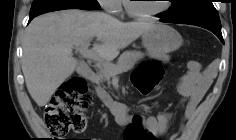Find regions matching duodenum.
<instances>
[{
	"instance_id": "1",
	"label": "duodenum",
	"mask_w": 236,
	"mask_h": 140,
	"mask_svg": "<svg viewBox=\"0 0 236 140\" xmlns=\"http://www.w3.org/2000/svg\"><path fill=\"white\" fill-rule=\"evenodd\" d=\"M78 68L79 71L88 79L93 77V72L85 61H81ZM99 92L102 102L106 107L112 110L113 115L118 122H124L128 119L130 112L123 104L113 101L102 89H100Z\"/></svg>"
}]
</instances>
